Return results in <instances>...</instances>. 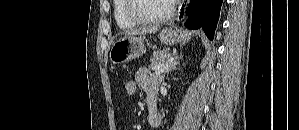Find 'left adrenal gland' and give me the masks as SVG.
<instances>
[{"mask_svg": "<svg viewBox=\"0 0 299 130\" xmlns=\"http://www.w3.org/2000/svg\"><path fill=\"white\" fill-rule=\"evenodd\" d=\"M177 57L175 58V60L173 61V63L169 66V68L166 70V74H169V72H171L172 70L176 69V66L179 64V61H177Z\"/></svg>", "mask_w": 299, "mask_h": 130, "instance_id": "1", "label": "left adrenal gland"}]
</instances>
